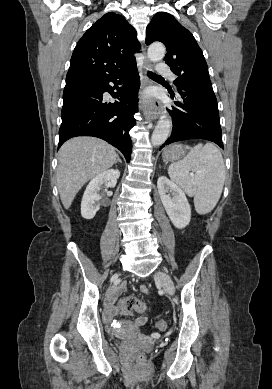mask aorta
Wrapping results in <instances>:
<instances>
[{
    "label": "aorta",
    "mask_w": 272,
    "mask_h": 389,
    "mask_svg": "<svg viewBox=\"0 0 272 389\" xmlns=\"http://www.w3.org/2000/svg\"><path fill=\"white\" fill-rule=\"evenodd\" d=\"M166 50L162 43H153L148 48V58L152 62H158L165 56ZM172 122L169 117L163 115L153 131L151 141L154 146L163 144L171 134Z\"/></svg>",
    "instance_id": "1"
}]
</instances>
